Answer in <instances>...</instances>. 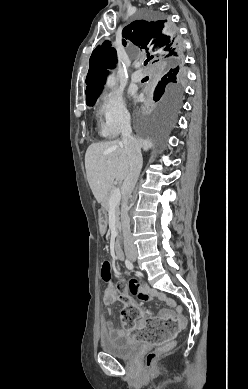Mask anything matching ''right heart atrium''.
Returning <instances> with one entry per match:
<instances>
[{"label":"right heart atrium","mask_w":248,"mask_h":389,"mask_svg":"<svg viewBox=\"0 0 248 389\" xmlns=\"http://www.w3.org/2000/svg\"><path fill=\"white\" fill-rule=\"evenodd\" d=\"M98 113L102 121V131L107 136H116L129 126V111L121 95L115 92L102 96Z\"/></svg>","instance_id":"d8ad5b80"}]
</instances>
